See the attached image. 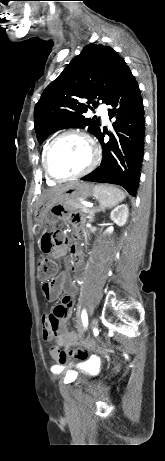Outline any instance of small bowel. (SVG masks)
<instances>
[{"label": "small bowel", "instance_id": "small-bowel-1", "mask_svg": "<svg viewBox=\"0 0 165 461\" xmlns=\"http://www.w3.org/2000/svg\"><path fill=\"white\" fill-rule=\"evenodd\" d=\"M50 216L55 219L57 217H69V221L74 226H77L82 219L81 214H76V210L70 209L69 204H54L53 209H50ZM66 252V245L57 246L52 250V257L56 259L61 258ZM72 254L76 258L77 264H79L80 252L75 246L72 248ZM77 272V268L74 267L73 276H76ZM41 290L48 301H54L62 291L66 292L61 299V303L56 305L51 313L44 315L42 318V335L44 340H75L77 342L79 335L76 332L69 331L67 328V322L72 316L76 292V285L72 276L66 272H60L53 280L44 281ZM55 311H58L59 314H55ZM51 356L55 361L64 363L68 358V352L60 353L58 348L53 346Z\"/></svg>", "mask_w": 165, "mask_h": 461}]
</instances>
